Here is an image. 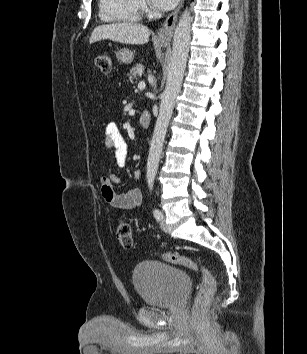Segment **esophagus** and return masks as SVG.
Segmentation results:
<instances>
[{"instance_id":"obj_1","label":"esophagus","mask_w":307,"mask_h":354,"mask_svg":"<svg viewBox=\"0 0 307 354\" xmlns=\"http://www.w3.org/2000/svg\"><path fill=\"white\" fill-rule=\"evenodd\" d=\"M182 4H183V0L180 1L178 7L166 18L164 24L162 25V27L159 29V31L155 36L156 39L168 41L172 38L175 25L177 22V17L182 7Z\"/></svg>"}]
</instances>
